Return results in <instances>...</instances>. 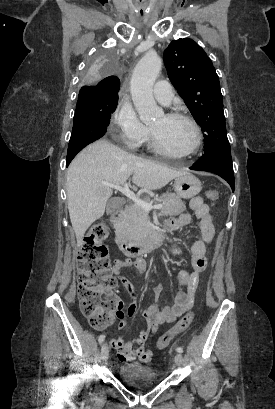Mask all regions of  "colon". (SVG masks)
I'll return each mask as SVG.
<instances>
[{
  "label": "colon",
  "instance_id": "1",
  "mask_svg": "<svg viewBox=\"0 0 275 409\" xmlns=\"http://www.w3.org/2000/svg\"><path fill=\"white\" fill-rule=\"evenodd\" d=\"M217 190H208L206 197L215 202L218 199ZM107 224L97 221L84 236L78 246V289L77 295L80 310L94 330H105L111 325L115 311L121 306L122 300L113 290L118 280L112 275V262L108 258ZM194 312L187 311L179 321L166 331L157 341L159 350L166 349L171 341L184 332L193 322Z\"/></svg>",
  "mask_w": 275,
  "mask_h": 409
}]
</instances>
